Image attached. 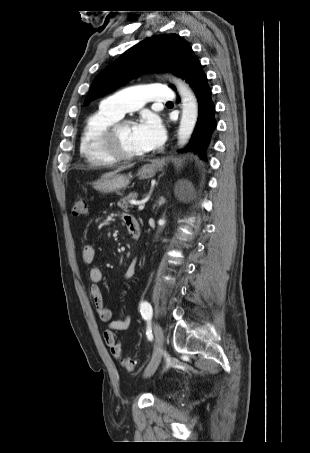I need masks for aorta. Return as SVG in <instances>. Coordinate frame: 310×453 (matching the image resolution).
Masks as SVG:
<instances>
[{
  "instance_id": "obj_1",
  "label": "aorta",
  "mask_w": 310,
  "mask_h": 453,
  "mask_svg": "<svg viewBox=\"0 0 310 453\" xmlns=\"http://www.w3.org/2000/svg\"><path fill=\"white\" fill-rule=\"evenodd\" d=\"M182 101V115L178 130V142L184 146L190 139L198 117V103L192 90L182 80L173 78ZM164 224V221H161Z\"/></svg>"
}]
</instances>
